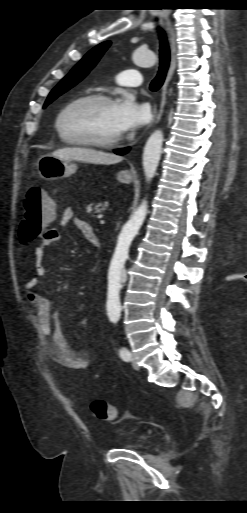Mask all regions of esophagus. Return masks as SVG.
Here are the masks:
<instances>
[{"label": "esophagus", "instance_id": "esophagus-1", "mask_svg": "<svg viewBox=\"0 0 247 513\" xmlns=\"http://www.w3.org/2000/svg\"><path fill=\"white\" fill-rule=\"evenodd\" d=\"M166 28H167V31H168V35H169V40H170V46H171V62H170V67H169V70H168V73H167V76H166V79L161 87V90H160V103H159V108L157 106V103H155L153 105V124H156L159 122L162 114H163V111H164V107H165V104H166V91H167V87H168V84L174 74V71L176 69V65H177V42H176V31L172 25V23L170 21H166Z\"/></svg>", "mask_w": 247, "mask_h": 513}]
</instances>
